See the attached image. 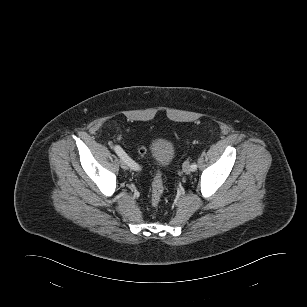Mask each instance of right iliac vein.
<instances>
[{"label":"right iliac vein","instance_id":"1","mask_svg":"<svg viewBox=\"0 0 307 307\" xmlns=\"http://www.w3.org/2000/svg\"><path fill=\"white\" fill-rule=\"evenodd\" d=\"M120 166L124 170L128 169V165H127V163L124 160H120Z\"/></svg>","mask_w":307,"mask_h":307}]
</instances>
